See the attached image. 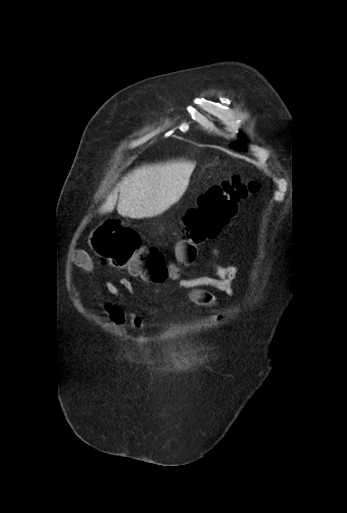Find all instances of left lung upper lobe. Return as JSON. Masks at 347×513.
I'll return each mask as SVG.
<instances>
[{
	"mask_svg": "<svg viewBox=\"0 0 347 513\" xmlns=\"http://www.w3.org/2000/svg\"><path fill=\"white\" fill-rule=\"evenodd\" d=\"M235 150H239L240 148H242L241 146H232Z\"/></svg>",
	"mask_w": 347,
	"mask_h": 513,
	"instance_id": "5c2ea615",
	"label": "left lung upper lobe"
}]
</instances>
